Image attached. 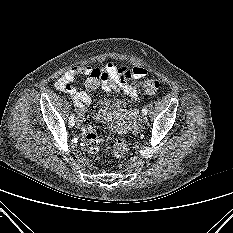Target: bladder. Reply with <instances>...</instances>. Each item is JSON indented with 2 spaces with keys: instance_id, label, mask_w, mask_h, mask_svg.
<instances>
[{
  "instance_id": "31cf9c89",
  "label": "bladder",
  "mask_w": 233,
  "mask_h": 233,
  "mask_svg": "<svg viewBox=\"0 0 233 233\" xmlns=\"http://www.w3.org/2000/svg\"><path fill=\"white\" fill-rule=\"evenodd\" d=\"M121 106L122 105L119 101H111L108 99H101L99 101L97 115L99 117H107L112 113V111L119 109Z\"/></svg>"
}]
</instances>
